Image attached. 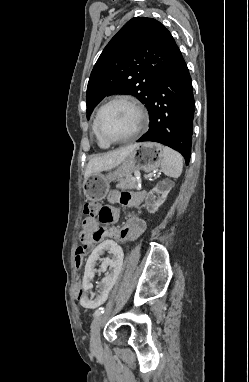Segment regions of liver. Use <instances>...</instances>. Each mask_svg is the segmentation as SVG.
I'll return each mask as SVG.
<instances>
[{
  "instance_id": "1",
  "label": "liver",
  "mask_w": 249,
  "mask_h": 382,
  "mask_svg": "<svg viewBox=\"0 0 249 382\" xmlns=\"http://www.w3.org/2000/svg\"><path fill=\"white\" fill-rule=\"evenodd\" d=\"M134 147L135 145H129L92 158L86 167L84 174L85 179L93 173H98L117 167L127 158Z\"/></svg>"
}]
</instances>
